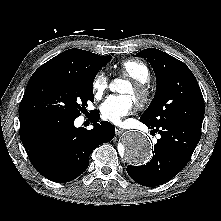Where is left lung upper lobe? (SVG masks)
Returning a JSON list of instances; mask_svg holds the SVG:
<instances>
[{
	"instance_id": "left-lung-upper-lobe-1",
	"label": "left lung upper lobe",
	"mask_w": 221,
	"mask_h": 221,
	"mask_svg": "<svg viewBox=\"0 0 221 221\" xmlns=\"http://www.w3.org/2000/svg\"><path fill=\"white\" fill-rule=\"evenodd\" d=\"M137 57L146 58L156 75V93L140 120L150 129L169 122H181L201 131L204 99L191 70L167 53L147 48Z\"/></svg>"
}]
</instances>
